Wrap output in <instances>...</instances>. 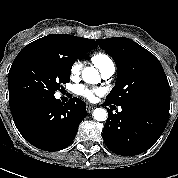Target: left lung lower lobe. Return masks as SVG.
<instances>
[{
    "mask_svg": "<svg viewBox=\"0 0 178 178\" xmlns=\"http://www.w3.org/2000/svg\"><path fill=\"white\" fill-rule=\"evenodd\" d=\"M110 104L105 101L103 106ZM121 108L117 114L108 109L109 116L103 129L106 146L123 156L145 152L162 135L169 115L132 105H122Z\"/></svg>",
    "mask_w": 178,
    "mask_h": 178,
    "instance_id": "left-lung-lower-lobe-1",
    "label": "left lung lower lobe"
}]
</instances>
